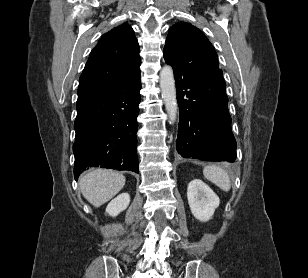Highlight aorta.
I'll list each match as a JSON object with an SVG mask.
<instances>
[{
  "label": "aorta",
  "mask_w": 308,
  "mask_h": 278,
  "mask_svg": "<svg viewBox=\"0 0 308 278\" xmlns=\"http://www.w3.org/2000/svg\"><path fill=\"white\" fill-rule=\"evenodd\" d=\"M160 88L170 123H172L176 120L178 104L173 69L169 65H165L160 71Z\"/></svg>",
  "instance_id": "aorta-1"
}]
</instances>
